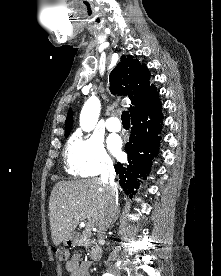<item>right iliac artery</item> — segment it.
<instances>
[{"instance_id": "1", "label": "right iliac artery", "mask_w": 221, "mask_h": 276, "mask_svg": "<svg viewBox=\"0 0 221 276\" xmlns=\"http://www.w3.org/2000/svg\"><path fill=\"white\" fill-rule=\"evenodd\" d=\"M103 276H112V275H110V274H105V275H103Z\"/></svg>"}]
</instances>
